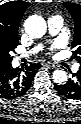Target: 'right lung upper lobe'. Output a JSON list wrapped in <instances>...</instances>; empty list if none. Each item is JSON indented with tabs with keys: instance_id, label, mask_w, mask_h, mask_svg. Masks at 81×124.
I'll return each mask as SVG.
<instances>
[{
	"instance_id": "1",
	"label": "right lung upper lobe",
	"mask_w": 81,
	"mask_h": 124,
	"mask_svg": "<svg viewBox=\"0 0 81 124\" xmlns=\"http://www.w3.org/2000/svg\"><path fill=\"white\" fill-rule=\"evenodd\" d=\"M30 3L10 1L0 5V66L9 64L4 61L2 52L5 45H18V29L25 10Z\"/></svg>"
}]
</instances>
